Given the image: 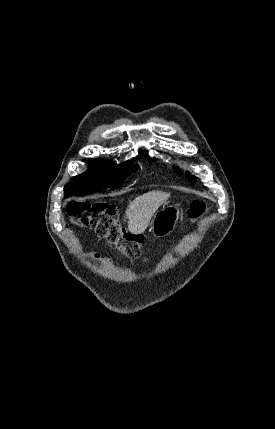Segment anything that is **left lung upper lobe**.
Wrapping results in <instances>:
<instances>
[{"mask_svg":"<svg viewBox=\"0 0 275 429\" xmlns=\"http://www.w3.org/2000/svg\"><path fill=\"white\" fill-rule=\"evenodd\" d=\"M174 171H175V172H180V170H178L177 168H174ZM186 175H187V176H190V173H188V172H187V173H186ZM189 180H190L191 182H195V180H194V178H193V177H190V178H189Z\"/></svg>","mask_w":275,"mask_h":429,"instance_id":"left-lung-upper-lobe-1","label":"left lung upper lobe"}]
</instances>
